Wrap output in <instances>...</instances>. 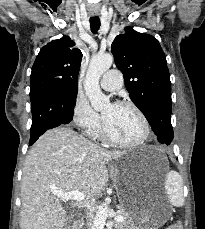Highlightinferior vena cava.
<instances>
[{"instance_id": "602c4592", "label": "inferior vena cava", "mask_w": 205, "mask_h": 229, "mask_svg": "<svg viewBox=\"0 0 205 229\" xmlns=\"http://www.w3.org/2000/svg\"><path fill=\"white\" fill-rule=\"evenodd\" d=\"M89 204H90V203H88L87 205H89ZM86 215H87V217H86V219H87V226L90 227V226H91V220H92V213H91V211L89 210V208H88V210H87Z\"/></svg>"}]
</instances>
